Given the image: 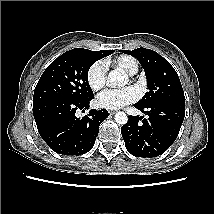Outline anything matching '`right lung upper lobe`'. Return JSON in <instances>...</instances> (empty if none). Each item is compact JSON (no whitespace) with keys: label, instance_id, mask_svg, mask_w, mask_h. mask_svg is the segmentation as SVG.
<instances>
[{"label":"right lung upper lobe","instance_id":"1","mask_svg":"<svg viewBox=\"0 0 214 214\" xmlns=\"http://www.w3.org/2000/svg\"><path fill=\"white\" fill-rule=\"evenodd\" d=\"M96 52H97L98 54H100V55L106 57V56L112 54V53L114 52V50H103V51H96Z\"/></svg>","mask_w":214,"mask_h":214}]
</instances>
